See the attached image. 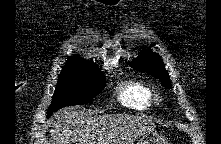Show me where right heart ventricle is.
Masks as SVG:
<instances>
[{"label":"right heart ventricle","mask_w":221,"mask_h":144,"mask_svg":"<svg viewBox=\"0 0 221 144\" xmlns=\"http://www.w3.org/2000/svg\"><path fill=\"white\" fill-rule=\"evenodd\" d=\"M118 99L122 105L141 111L152 105L153 92L145 82L129 79L120 85Z\"/></svg>","instance_id":"1"}]
</instances>
